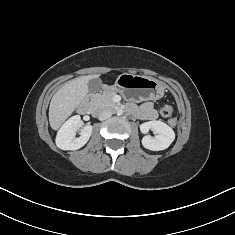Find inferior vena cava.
<instances>
[{
    "label": "inferior vena cava",
    "mask_w": 235,
    "mask_h": 235,
    "mask_svg": "<svg viewBox=\"0 0 235 235\" xmlns=\"http://www.w3.org/2000/svg\"><path fill=\"white\" fill-rule=\"evenodd\" d=\"M112 116V111L110 110H103L100 112L98 118L99 120L103 121V120H106L108 118H110Z\"/></svg>",
    "instance_id": "obj_1"
}]
</instances>
